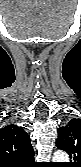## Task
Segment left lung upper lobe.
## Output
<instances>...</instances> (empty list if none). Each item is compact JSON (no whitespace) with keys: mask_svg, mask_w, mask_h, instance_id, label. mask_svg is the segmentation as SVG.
Returning <instances> with one entry per match:
<instances>
[{"mask_svg":"<svg viewBox=\"0 0 81 167\" xmlns=\"http://www.w3.org/2000/svg\"><path fill=\"white\" fill-rule=\"evenodd\" d=\"M56 146L69 154L72 162H70L68 166H80L79 162L81 160V119H72L67 125L58 129Z\"/></svg>","mask_w":81,"mask_h":167,"instance_id":"1","label":"left lung upper lobe"}]
</instances>
